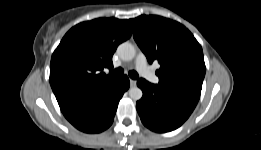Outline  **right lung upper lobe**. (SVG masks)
Wrapping results in <instances>:
<instances>
[{
	"label": "right lung upper lobe",
	"mask_w": 261,
	"mask_h": 150,
	"mask_svg": "<svg viewBox=\"0 0 261 150\" xmlns=\"http://www.w3.org/2000/svg\"><path fill=\"white\" fill-rule=\"evenodd\" d=\"M131 34L129 21L116 18L82 22L66 33L50 63V84L65 117L118 86L121 77L103 70L113 69L117 46Z\"/></svg>",
	"instance_id": "cb5924a9"
}]
</instances>
